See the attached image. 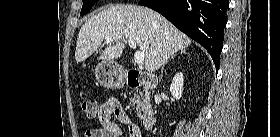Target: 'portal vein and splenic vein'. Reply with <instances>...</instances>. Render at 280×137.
Masks as SVG:
<instances>
[{
  "label": "portal vein and splenic vein",
  "mask_w": 280,
  "mask_h": 137,
  "mask_svg": "<svg viewBox=\"0 0 280 137\" xmlns=\"http://www.w3.org/2000/svg\"><path fill=\"white\" fill-rule=\"evenodd\" d=\"M112 40H113L112 38H107L106 42H111ZM127 42L132 49L137 48V45L133 40L127 39ZM134 61L139 65L142 64L144 62V53L140 50H137L134 54Z\"/></svg>",
  "instance_id": "1"
}]
</instances>
